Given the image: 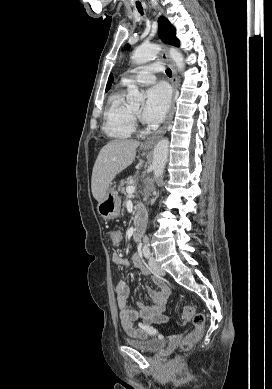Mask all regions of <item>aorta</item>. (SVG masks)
I'll return each instance as SVG.
<instances>
[{"label": "aorta", "instance_id": "aorta-1", "mask_svg": "<svg viewBox=\"0 0 272 389\" xmlns=\"http://www.w3.org/2000/svg\"><path fill=\"white\" fill-rule=\"evenodd\" d=\"M161 50L158 44H145L137 47L132 55V61L136 64H144L155 58ZM170 57L175 62L179 71L185 67L183 55L175 48H170ZM144 95L136 86H130L127 94V102L129 104L139 105L144 102ZM169 153V140L167 138L161 139L154 147L153 151V171L155 179L162 176Z\"/></svg>", "mask_w": 272, "mask_h": 389}]
</instances>
